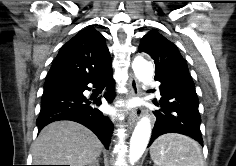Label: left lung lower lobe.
<instances>
[{
    "label": "left lung lower lobe",
    "mask_w": 236,
    "mask_h": 166,
    "mask_svg": "<svg viewBox=\"0 0 236 166\" xmlns=\"http://www.w3.org/2000/svg\"><path fill=\"white\" fill-rule=\"evenodd\" d=\"M155 80L161 82V109L154 112L156 123L149 145L162 134L179 133L193 138L203 146L199 101L189 73L161 75Z\"/></svg>",
    "instance_id": "0a47b994"
}]
</instances>
